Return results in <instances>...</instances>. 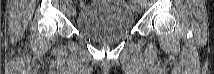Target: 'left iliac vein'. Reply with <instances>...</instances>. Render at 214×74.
I'll return each mask as SVG.
<instances>
[{"label": "left iliac vein", "instance_id": "left-iliac-vein-1", "mask_svg": "<svg viewBox=\"0 0 214 74\" xmlns=\"http://www.w3.org/2000/svg\"><path fill=\"white\" fill-rule=\"evenodd\" d=\"M135 10L138 12V13H140L141 11H142V5L141 4H136L135 5Z\"/></svg>", "mask_w": 214, "mask_h": 74}]
</instances>
